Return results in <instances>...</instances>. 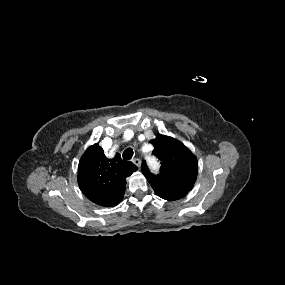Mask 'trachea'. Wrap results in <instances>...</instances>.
<instances>
[{
	"instance_id": "3493384b",
	"label": "trachea",
	"mask_w": 285,
	"mask_h": 285,
	"mask_svg": "<svg viewBox=\"0 0 285 285\" xmlns=\"http://www.w3.org/2000/svg\"><path fill=\"white\" fill-rule=\"evenodd\" d=\"M133 154H134L133 149L132 148H127L123 152L122 156H123V159L130 160L133 157Z\"/></svg>"
}]
</instances>
